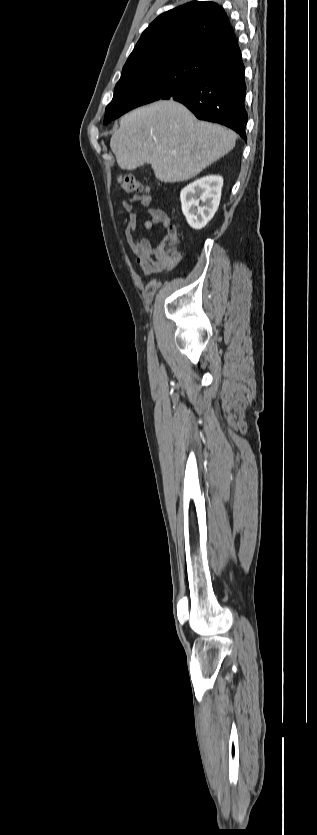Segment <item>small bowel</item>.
Here are the masks:
<instances>
[{
	"label": "small bowel",
	"mask_w": 317,
	"mask_h": 835,
	"mask_svg": "<svg viewBox=\"0 0 317 835\" xmlns=\"http://www.w3.org/2000/svg\"><path fill=\"white\" fill-rule=\"evenodd\" d=\"M135 203L147 208L149 218L143 222V227L146 230H151L155 225L167 227L171 219L160 206H152L153 199L149 194L135 195L124 201L123 207L128 213L124 234L128 246L136 256L137 265L147 275H157L171 271L177 264V258L165 257L159 248L153 247L148 238L137 236L138 218L133 210Z\"/></svg>",
	"instance_id": "obj_1"
}]
</instances>
